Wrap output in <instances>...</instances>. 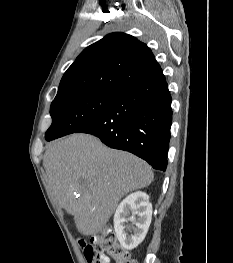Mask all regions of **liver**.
I'll use <instances>...</instances> for the list:
<instances>
[{"label":"liver","instance_id":"6515ba94","mask_svg":"<svg viewBox=\"0 0 233 263\" xmlns=\"http://www.w3.org/2000/svg\"><path fill=\"white\" fill-rule=\"evenodd\" d=\"M43 166L56 202L85 236L98 234L121 198L154 178L145 161L82 133L51 142Z\"/></svg>","mask_w":233,"mask_h":263}]
</instances>
